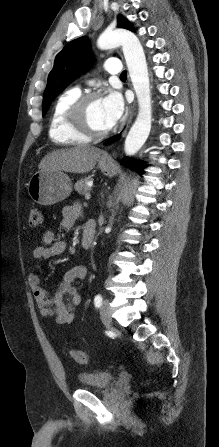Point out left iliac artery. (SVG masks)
Returning a JSON list of instances; mask_svg holds the SVG:
<instances>
[{
  "mask_svg": "<svg viewBox=\"0 0 219 447\" xmlns=\"http://www.w3.org/2000/svg\"><path fill=\"white\" fill-rule=\"evenodd\" d=\"M94 304L97 308H99L102 305V296L100 294L95 296Z\"/></svg>",
  "mask_w": 219,
  "mask_h": 447,
  "instance_id": "44dca946",
  "label": "left iliac artery"
}]
</instances>
